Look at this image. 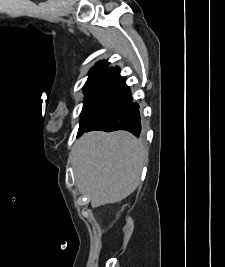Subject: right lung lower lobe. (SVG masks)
<instances>
[{
    "instance_id": "obj_1",
    "label": "right lung lower lobe",
    "mask_w": 225,
    "mask_h": 267,
    "mask_svg": "<svg viewBox=\"0 0 225 267\" xmlns=\"http://www.w3.org/2000/svg\"><path fill=\"white\" fill-rule=\"evenodd\" d=\"M92 130H126L136 137L141 135L139 105L132 102L130 88L117 67L107 68L84 98L77 137Z\"/></svg>"
}]
</instances>
